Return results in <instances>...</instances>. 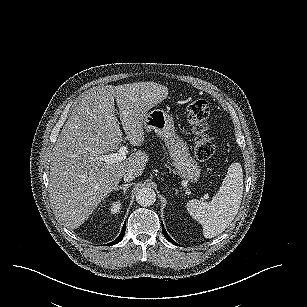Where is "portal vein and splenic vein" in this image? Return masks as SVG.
<instances>
[{"label": "portal vein and splenic vein", "instance_id": "18ae733b", "mask_svg": "<svg viewBox=\"0 0 307 307\" xmlns=\"http://www.w3.org/2000/svg\"><path fill=\"white\" fill-rule=\"evenodd\" d=\"M102 159L107 164L125 161L127 159V148L121 147L117 153L105 155Z\"/></svg>", "mask_w": 307, "mask_h": 307}]
</instances>
